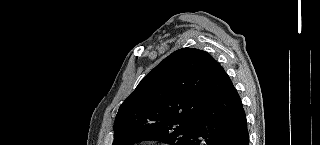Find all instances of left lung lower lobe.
Segmentation results:
<instances>
[{
	"instance_id": "left-lung-lower-lobe-1",
	"label": "left lung lower lobe",
	"mask_w": 320,
	"mask_h": 145,
	"mask_svg": "<svg viewBox=\"0 0 320 145\" xmlns=\"http://www.w3.org/2000/svg\"><path fill=\"white\" fill-rule=\"evenodd\" d=\"M205 93L206 105L186 145H248L241 99L220 64L212 71Z\"/></svg>"
}]
</instances>
